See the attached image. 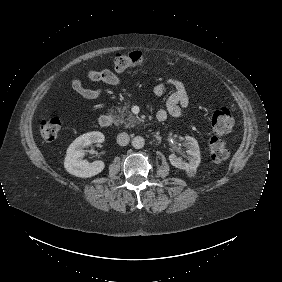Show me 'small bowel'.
Masks as SVG:
<instances>
[{
    "mask_svg": "<svg viewBox=\"0 0 282 282\" xmlns=\"http://www.w3.org/2000/svg\"><path fill=\"white\" fill-rule=\"evenodd\" d=\"M87 78L93 82H101L109 86H119L122 79L109 69H89ZM72 89L85 99L93 100L98 98L103 91L101 89H88L84 87L82 81L73 77L71 80ZM172 88L173 93L168 97L165 108H161L156 113L158 121H165L168 116L174 118H186L185 108L189 103V92L185 84L178 78L170 77L152 85V92L156 96H162L167 89Z\"/></svg>",
    "mask_w": 282,
    "mask_h": 282,
    "instance_id": "c3829d8e",
    "label": "small bowel"
}]
</instances>
